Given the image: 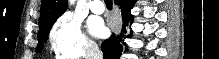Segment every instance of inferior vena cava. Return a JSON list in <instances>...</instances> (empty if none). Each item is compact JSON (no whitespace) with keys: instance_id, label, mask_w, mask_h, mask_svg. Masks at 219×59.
<instances>
[{"instance_id":"602c4592","label":"inferior vena cava","mask_w":219,"mask_h":59,"mask_svg":"<svg viewBox=\"0 0 219 59\" xmlns=\"http://www.w3.org/2000/svg\"><path fill=\"white\" fill-rule=\"evenodd\" d=\"M103 53L97 44L89 43L86 45V59H102Z\"/></svg>"}]
</instances>
